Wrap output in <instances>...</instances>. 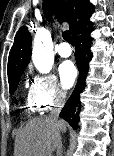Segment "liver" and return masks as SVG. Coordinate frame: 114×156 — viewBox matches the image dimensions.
I'll return each mask as SVG.
<instances>
[{"instance_id": "liver-1", "label": "liver", "mask_w": 114, "mask_h": 156, "mask_svg": "<svg viewBox=\"0 0 114 156\" xmlns=\"http://www.w3.org/2000/svg\"><path fill=\"white\" fill-rule=\"evenodd\" d=\"M67 124L50 117L31 119L18 133L15 140L14 156H48L61 149V133Z\"/></svg>"}]
</instances>
